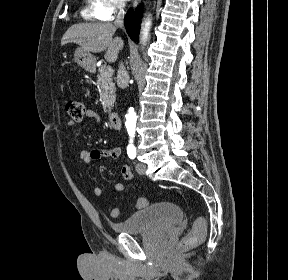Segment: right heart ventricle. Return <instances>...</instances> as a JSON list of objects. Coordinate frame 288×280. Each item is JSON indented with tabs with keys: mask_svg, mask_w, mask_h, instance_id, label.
<instances>
[{
	"mask_svg": "<svg viewBox=\"0 0 288 280\" xmlns=\"http://www.w3.org/2000/svg\"><path fill=\"white\" fill-rule=\"evenodd\" d=\"M81 15L88 20H99L98 0H85L81 9Z\"/></svg>",
	"mask_w": 288,
	"mask_h": 280,
	"instance_id": "1",
	"label": "right heart ventricle"
}]
</instances>
